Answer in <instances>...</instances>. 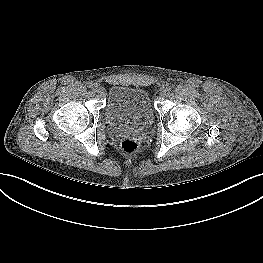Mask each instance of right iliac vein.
Listing matches in <instances>:
<instances>
[{"mask_svg": "<svg viewBox=\"0 0 263 263\" xmlns=\"http://www.w3.org/2000/svg\"><path fill=\"white\" fill-rule=\"evenodd\" d=\"M95 92L103 93V89L100 88V87H98V86H96V87H95Z\"/></svg>", "mask_w": 263, "mask_h": 263, "instance_id": "63e3f726", "label": "right iliac vein"}]
</instances>
